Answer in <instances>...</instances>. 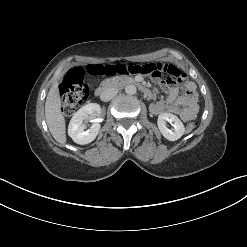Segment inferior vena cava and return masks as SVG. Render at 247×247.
Segmentation results:
<instances>
[{
	"mask_svg": "<svg viewBox=\"0 0 247 247\" xmlns=\"http://www.w3.org/2000/svg\"><path fill=\"white\" fill-rule=\"evenodd\" d=\"M117 93H118L117 88H107V89L102 91V93L100 95V99L102 101L107 102V101L111 100Z\"/></svg>",
	"mask_w": 247,
	"mask_h": 247,
	"instance_id": "inferior-vena-cava-1",
	"label": "inferior vena cava"
}]
</instances>
